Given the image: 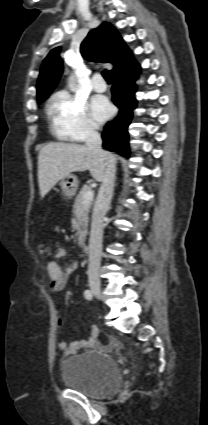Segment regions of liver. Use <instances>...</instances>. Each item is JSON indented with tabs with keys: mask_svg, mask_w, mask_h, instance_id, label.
Wrapping results in <instances>:
<instances>
[{
	"mask_svg": "<svg viewBox=\"0 0 208 425\" xmlns=\"http://www.w3.org/2000/svg\"><path fill=\"white\" fill-rule=\"evenodd\" d=\"M116 160V157L113 155ZM89 170L91 176L101 182L105 163L84 145L52 142L43 146L38 156V183L40 196L44 198L55 184L72 172Z\"/></svg>",
	"mask_w": 208,
	"mask_h": 425,
	"instance_id": "obj_1",
	"label": "liver"
}]
</instances>
